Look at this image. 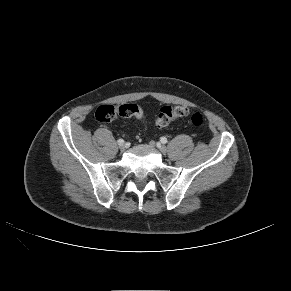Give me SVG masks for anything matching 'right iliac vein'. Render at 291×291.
<instances>
[{
	"label": "right iliac vein",
	"instance_id": "obj_1",
	"mask_svg": "<svg viewBox=\"0 0 291 291\" xmlns=\"http://www.w3.org/2000/svg\"><path fill=\"white\" fill-rule=\"evenodd\" d=\"M119 148H120L121 151H124L126 146H125V144H121V145H119Z\"/></svg>",
	"mask_w": 291,
	"mask_h": 291
}]
</instances>
